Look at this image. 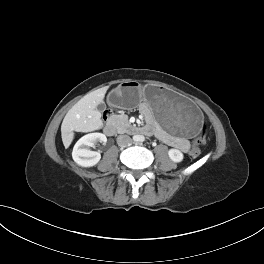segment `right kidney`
Here are the masks:
<instances>
[{"mask_svg": "<svg viewBox=\"0 0 264 264\" xmlns=\"http://www.w3.org/2000/svg\"><path fill=\"white\" fill-rule=\"evenodd\" d=\"M107 138L102 133H90L80 138L75 144L72 151L73 160L82 167H92L96 165L101 155L99 152L92 151L89 147H93L98 142H106Z\"/></svg>", "mask_w": 264, "mask_h": 264, "instance_id": "ca27d5eb", "label": "right kidney"}]
</instances>
